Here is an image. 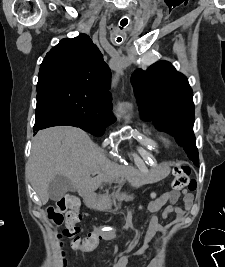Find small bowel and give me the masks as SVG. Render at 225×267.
Returning a JSON list of instances; mask_svg holds the SVG:
<instances>
[{
  "label": "small bowel",
  "mask_w": 225,
  "mask_h": 267,
  "mask_svg": "<svg viewBox=\"0 0 225 267\" xmlns=\"http://www.w3.org/2000/svg\"><path fill=\"white\" fill-rule=\"evenodd\" d=\"M180 197L182 198L183 206H177L175 204ZM192 205H193V195L187 190H183L182 192L171 191L165 193L160 198L150 203L147 210L148 212L153 213V215L151 216L149 221L148 231L143 239L141 247L137 251H135L132 255L133 256L143 255L146 252V250L150 247L153 236L157 232L165 231V229L160 225L157 215V213H159L162 210V208H164V210L161 213L162 219H167L169 214L175 213L176 218L180 220L184 216V214L192 207ZM89 235L93 236V243L95 248L98 242L102 238L110 236V233L109 231L106 230H103V232H99L96 228H94ZM132 255H122L118 259V261L114 264L113 267H126L128 259Z\"/></svg>",
  "instance_id": "1"
}]
</instances>
